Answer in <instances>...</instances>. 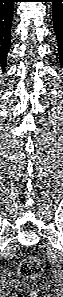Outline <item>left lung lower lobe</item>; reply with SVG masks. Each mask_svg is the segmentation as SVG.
I'll list each match as a JSON object with an SVG mask.
<instances>
[{
	"label": "left lung lower lobe",
	"mask_w": 63,
	"mask_h": 297,
	"mask_svg": "<svg viewBox=\"0 0 63 297\" xmlns=\"http://www.w3.org/2000/svg\"><path fill=\"white\" fill-rule=\"evenodd\" d=\"M52 2L54 31L58 40L60 63L63 64V0H47Z\"/></svg>",
	"instance_id": "0a47b994"
}]
</instances>
